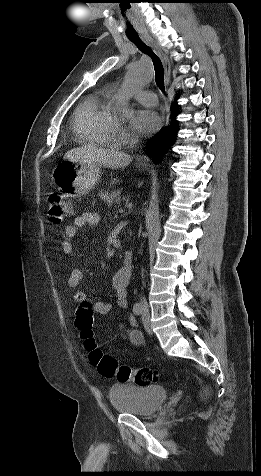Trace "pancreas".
Masks as SVG:
<instances>
[{
    "mask_svg": "<svg viewBox=\"0 0 261 476\" xmlns=\"http://www.w3.org/2000/svg\"><path fill=\"white\" fill-rule=\"evenodd\" d=\"M120 191H113L111 193L108 192H101L100 197L108 204L109 207L115 205V207H119L121 203V198H120Z\"/></svg>",
    "mask_w": 261,
    "mask_h": 476,
    "instance_id": "obj_1",
    "label": "pancreas"
}]
</instances>
